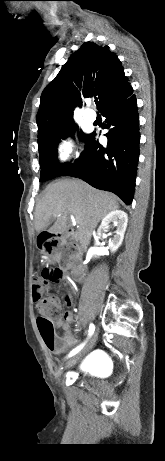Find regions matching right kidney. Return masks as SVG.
<instances>
[{"mask_svg":"<svg viewBox=\"0 0 165 461\" xmlns=\"http://www.w3.org/2000/svg\"><path fill=\"white\" fill-rule=\"evenodd\" d=\"M127 222H128V216L124 211L113 210L109 214H107L103 218L101 225L98 229V233H97L98 238L102 236L103 231H106V229H108L110 223H113L114 226H116L115 235L112 239L109 240V245L107 248L93 247L89 249L88 254L96 258L100 255H107L108 249H110L111 252H115L122 244L124 234L126 231V227H127Z\"/></svg>","mask_w":165,"mask_h":461,"instance_id":"1","label":"right kidney"}]
</instances>
